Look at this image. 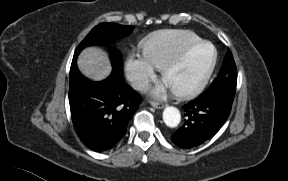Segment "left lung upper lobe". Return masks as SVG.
Here are the masks:
<instances>
[{"label": "left lung upper lobe", "instance_id": "1", "mask_svg": "<svg viewBox=\"0 0 288 181\" xmlns=\"http://www.w3.org/2000/svg\"><path fill=\"white\" fill-rule=\"evenodd\" d=\"M237 84V70L230 50L227 51L221 70L201 96L218 95L233 101Z\"/></svg>", "mask_w": 288, "mask_h": 181}]
</instances>
